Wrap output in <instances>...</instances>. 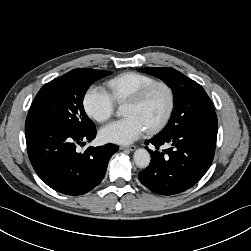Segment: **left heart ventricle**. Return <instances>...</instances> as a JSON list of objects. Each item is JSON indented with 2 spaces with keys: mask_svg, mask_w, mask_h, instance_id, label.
<instances>
[{
  "mask_svg": "<svg viewBox=\"0 0 251 251\" xmlns=\"http://www.w3.org/2000/svg\"><path fill=\"white\" fill-rule=\"evenodd\" d=\"M168 107V95L165 89L155 88L142 104L127 103L125 116H136L150 128L165 114Z\"/></svg>",
  "mask_w": 251,
  "mask_h": 251,
  "instance_id": "left-heart-ventricle-1",
  "label": "left heart ventricle"
}]
</instances>
